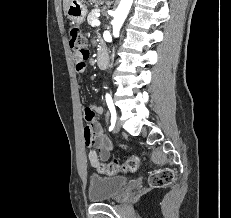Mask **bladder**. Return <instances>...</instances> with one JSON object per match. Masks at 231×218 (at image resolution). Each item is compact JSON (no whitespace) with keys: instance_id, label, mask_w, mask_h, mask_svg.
Segmentation results:
<instances>
[{"instance_id":"31cf9c89","label":"bladder","mask_w":231,"mask_h":218,"mask_svg":"<svg viewBox=\"0 0 231 218\" xmlns=\"http://www.w3.org/2000/svg\"><path fill=\"white\" fill-rule=\"evenodd\" d=\"M127 183L128 179L123 176L92 175L89 180L88 198L94 203L113 199L120 194Z\"/></svg>"}]
</instances>
